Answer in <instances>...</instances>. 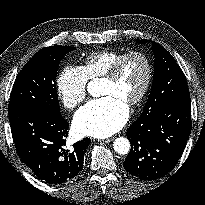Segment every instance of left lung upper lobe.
<instances>
[{
	"mask_svg": "<svg viewBox=\"0 0 205 205\" xmlns=\"http://www.w3.org/2000/svg\"><path fill=\"white\" fill-rule=\"evenodd\" d=\"M152 48L155 57L153 83L147 103L138 119L156 114L174 99L190 96L185 76L175 59L158 43H153Z\"/></svg>",
	"mask_w": 205,
	"mask_h": 205,
	"instance_id": "1",
	"label": "left lung upper lobe"
}]
</instances>
